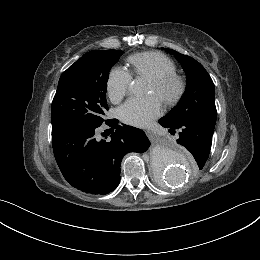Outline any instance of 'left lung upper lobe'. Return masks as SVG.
<instances>
[{
  "mask_svg": "<svg viewBox=\"0 0 260 260\" xmlns=\"http://www.w3.org/2000/svg\"><path fill=\"white\" fill-rule=\"evenodd\" d=\"M166 51L174 54L181 63L187 75V88L177 106L165 117L172 123L195 119L210 127H215L217 111L214 83L211 77L195 59L172 49H166Z\"/></svg>",
  "mask_w": 260,
  "mask_h": 260,
  "instance_id": "obj_1",
  "label": "left lung upper lobe"
}]
</instances>
